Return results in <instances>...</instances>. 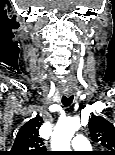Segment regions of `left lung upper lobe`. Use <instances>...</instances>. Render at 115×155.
Segmentation results:
<instances>
[{
	"label": "left lung upper lobe",
	"mask_w": 115,
	"mask_h": 155,
	"mask_svg": "<svg viewBox=\"0 0 115 155\" xmlns=\"http://www.w3.org/2000/svg\"><path fill=\"white\" fill-rule=\"evenodd\" d=\"M88 127L91 139L100 144L104 151L98 155H115V127L108 120L101 116H92L89 119Z\"/></svg>",
	"instance_id": "1"
}]
</instances>
